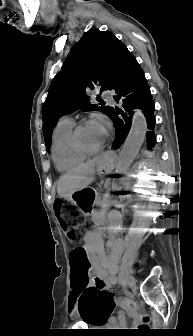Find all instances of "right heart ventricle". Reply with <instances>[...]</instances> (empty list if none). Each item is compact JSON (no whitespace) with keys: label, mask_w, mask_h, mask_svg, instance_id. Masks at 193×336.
Returning a JSON list of instances; mask_svg holds the SVG:
<instances>
[{"label":"right heart ventricle","mask_w":193,"mask_h":336,"mask_svg":"<svg viewBox=\"0 0 193 336\" xmlns=\"http://www.w3.org/2000/svg\"><path fill=\"white\" fill-rule=\"evenodd\" d=\"M73 122H59L53 133L52 158L59 171H68L81 164L86 155L77 151L71 141Z\"/></svg>","instance_id":"e07e8e85"}]
</instances>
